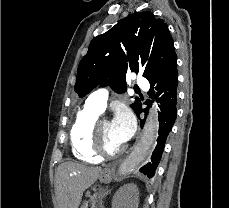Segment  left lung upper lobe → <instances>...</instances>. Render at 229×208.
Here are the masks:
<instances>
[{"mask_svg": "<svg viewBox=\"0 0 229 208\" xmlns=\"http://www.w3.org/2000/svg\"><path fill=\"white\" fill-rule=\"evenodd\" d=\"M176 60L168 25L150 11L136 12L91 41L79 63L74 90L82 98L103 83L123 93L127 72L138 73L145 64L143 76L157 83ZM140 105L136 98L131 107L136 112Z\"/></svg>", "mask_w": 229, "mask_h": 208, "instance_id": "left-lung-upper-lobe-1", "label": "left lung upper lobe"}]
</instances>
